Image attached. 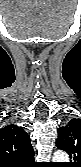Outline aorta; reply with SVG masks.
Masks as SVG:
<instances>
[{"instance_id": "aorta-1", "label": "aorta", "mask_w": 81, "mask_h": 167, "mask_svg": "<svg viewBox=\"0 0 81 167\" xmlns=\"http://www.w3.org/2000/svg\"><path fill=\"white\" fill-rule=\"evenodd\" d=\"M53 161L54 162H68L69 157L65 152L57 151V152L54 153Z\"/></svg>"}]
</instances>
